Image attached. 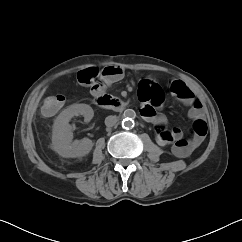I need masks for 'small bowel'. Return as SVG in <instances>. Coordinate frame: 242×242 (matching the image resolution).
<instances>
[{"label": "small bowel", "instance_id": "small-bowel-1", "mask_svg": "<svg viewBox=\"0 0 242 242\" xmlns=\"http://www.w3.org/2000/svg\"><path fill=\"white\" fill-rule=\"evenodd\" d=\"M101 75L104 80L97 86L93 87V93H103L113 83L119 81L124 76V69L120 66L110 65L106 66ZM150 80V79H148ZM174 83H180L185 94L181 97L173 91L172 85ZM170 91L173 96L179 97L186 105L190 106L189 117L193 121L192 127L196 123H201L206 126V121L203 112L202 103L194 96L191 89L181 80L173 79L169 83ZM139 99L141 105V115L149 122H151L157 128V142L160 145L173 144V151L177 156L186 157L190 155L196 148L200 146L205 138V135H201L199 132L194 131L192 128V136L187 139L184 137L183 132L178 128H167V119L157 110L158 105H154L150 100L144 99L139 93Z\"/></svg>", "mask_w": 242, "mask_h": 242}]
</instances>
